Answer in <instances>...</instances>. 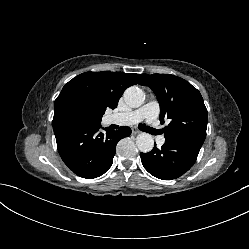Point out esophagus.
<instances>
[{"label":"esophagus","mask_w":249,"mask_h":249,"mask_svg":"<svg viewBox=\"0 0 249 249\" xmlns=\"http://www.w3.org/2000/svg\"><path fill=\"white\" fill-rule=\"evenodd\" d=\"M132 133L136 135V134H140L141 131L139 129H137L136 127H134V128H132Z\"/></svg>","instance_id":"34e87169"}]
</instances>
